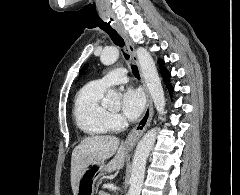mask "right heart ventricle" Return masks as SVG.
I'll list each match as a JSON object with an SVG mask.
<instances>
[{"instance_id":"e07e8e85","label":"right heart ventricle","mask_w":240,"mask_h":195,"mask_svg":"<svg viewBox=\"0 0 240 195\" xmlns=\"http://www.w3.org/2000/svg\"><path fill=\"white\" fill-rule=\"evenodd\" d=\"M107 87L92 81L78 94L74 105V118L80 130L88 136L99 137L110 132L111 114L104 104Z\"/></svg>"}]
</instances>
